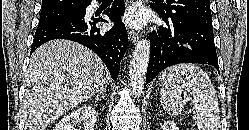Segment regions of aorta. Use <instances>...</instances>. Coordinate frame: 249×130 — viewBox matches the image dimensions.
Returning a JSON list of instances; mask_svg holds the SVG:
<instances>
[{
  "label": "aorta",
  "instance_id": "aorta-1",
  "mask_svg": "<svg viewBox=\"0 0 249 130\" xmlns=\"http://www.w3.org/2000/svg\"><path fill=\"white\" fill-rule=\"evenodd\" d=\"M149 58L150 43L142 39L135 46L129 66L130 85L135 97L143 93Z\"/></svg>",
  "mask_w": 249,
  "mask_h": 130
}]
</instances>
